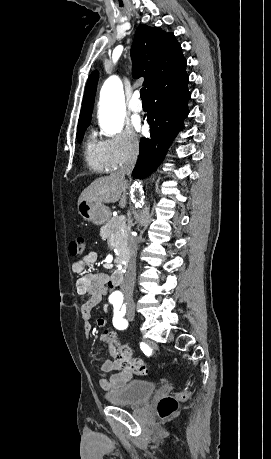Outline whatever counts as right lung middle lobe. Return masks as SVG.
<instances>
[{"mask_svg":"<svg viewBox=\"0 0 271 459\" xmlns=\"http://www.w3.org/2000/svg\"><path fill=\"white\" fill-rule=\"evenodd\" d=\"M90 120H83L78 122L77 127V140L80 142L84 135V131L86 130L87 126L89 125Z\"/></svg>","mask_w":271,"mask_h":459,"instance_id":"right-lung-middle-lobe-1","label":"right lung middle lobe"}]
</instances>
